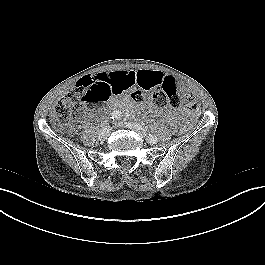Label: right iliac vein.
Returning <instances> with one entry per match:
<instances>
[{"label":"right iliac vein","mask_w":265,"mask_h":265,"mask_svg":"<svg viewBox=\"0 0 265 265\" xmlns=\"http://www.w3.org/2000/svg\"><path fill=\"white\" fill-rule=\"evenodd\" d=\"M110 136V128L106 127V128H103L100 133H99V139L104 141L106 140L108 137Z\"/></svg>","instance_id":"obj_1"}]
</instances>
